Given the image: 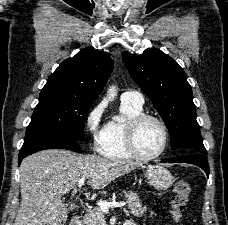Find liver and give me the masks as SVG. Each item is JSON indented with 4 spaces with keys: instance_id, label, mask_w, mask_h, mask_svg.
Returning <instances> with one entry per match:
<instances>
[{
    "instance_id": "6515ba94",
    "label": "liver",
    "mask_w": 228,
    "mask_h": 225,
    "mask_svg": "<svg viewBox=\"0 0 228 225\" xmlns=\"http://www.w3.org/2000/svg\"><path fill=\"white\" fill-rule=\"evenodd\" d=\"M140 167L134 161L77 155L64 149L39 151L23 159L20 169L21 205L14 225H65L62 195L86 177L92 189H104L117 177Z\"/></svg>"
}]
</instances>
